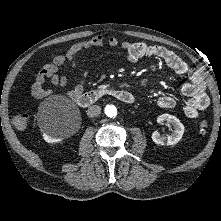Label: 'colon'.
<instances>
[{
    "mask_svg": "<svg viewBox=\"0 0 221 221\" xmlns=\"http://www.w3.org/2000/svg\"><path fill=\"white\" fill-rule=\"evenodd\" d=\"M27 115L19 114L13 118V124L18 129H23L27 125ZM198 130L201 134H206L209 130V124L207 121L203 120L198 125Z\"/></svg>",
    "mask_w": 221,
    "mask_h": 221,
    "instance_id": "colon-1",
    "label": "colon"
}]
</instances>
